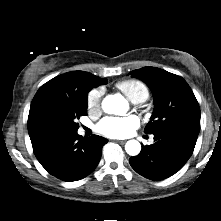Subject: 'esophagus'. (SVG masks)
I'll list each match as a JSON object with an SVG mask.
<instances>
[{"mask_svg": "<svg viewBox=\"0 0 221 221\" xmlns=\"http://www.w3.org/2000/svg\"><path fill=\"white\" fill-rule=\"evenodd\" d=\"M117 142L124 144L126 141L125 140H117Z\"/></svg>", "mask_w": 221, "mask_h": 221, "instance_id": "esophagus-1", "label": "esophagus"}]
</instances>
